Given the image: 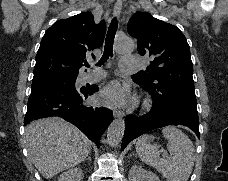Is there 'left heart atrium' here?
Instances as JSON below:
<instances>
[{"mask_svg": "<svg viewBox=\"0 0 228 181\" xmlns=\"http://www.w3.org/2000/svg\"><path fill=\"white\" fill-rule=\"evenodd\" d=\"M128 92V84L114 80L104 88L102 91V97L107 101L114 102L115 104H121L123 103Z\"/></svg>", "mask_w": 228, "mask_h": 181, "instance_id": "obj_1", "label": "left heart atrium"}]
</instances>
